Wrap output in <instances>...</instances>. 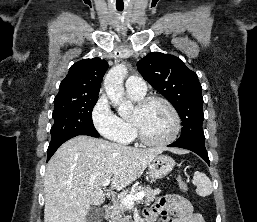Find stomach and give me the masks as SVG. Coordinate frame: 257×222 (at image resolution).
<instances>
[{"instance_id": "0dacf381", "label": "stomach", "mask_w": 257, "mask_h": 222, "mask_svg": "<svg viewBox=\"0 0 257 222\" xmlns=\"http://www.w3.org/2000/svg\"><path fill=\"white\" fill-rule=\"evenodd\" d=\"M174 160L167 155L156 156L149 164L148 171L152 180L162 179L174 168Z\"/></svg>"}]
</instances>
